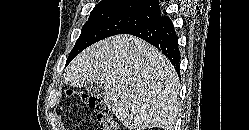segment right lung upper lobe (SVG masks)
I'll list each match as a JSON object with an SVG mask.
<instances>
[{"label":"right lung upper lobe","mask_w":249,"mask_h":130,"mask_svg":"<svg viewBox=\"0 0 249 130\" xmlns=\"http://www.w3.org/2000/svg\"><path fill=\"white\" fill-rule=\"evenodd\" d=\"M101 4H116L123 6L138 7L147 11L159 13L161 15L158 0H103L97 5Z\"/></svg>","instance_id":"right-lung-upper-lobe-1"}]
</instances>
